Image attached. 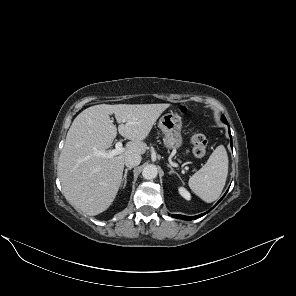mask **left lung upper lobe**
<instances>
[{"label":"left lung upper lobe","mask_w":296,"mask_h":296,"mask_svg":"<svg viewBox=\"0 0 296 296\" xmlns=\"http://www.w3.org/2000/svg\"><path fill=\"white\" fill-rule=\"evenodd\" d=\"M221 119H225V117H224V116H222V117H221Z\"/></svg>","instance_id":"left-lung-upper-lobe-1"}]
</instances>
